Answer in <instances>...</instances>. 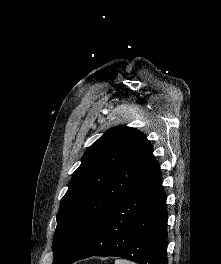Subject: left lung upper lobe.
<instances>
[{"label": "left lung upper lobe", "mask_w": 221, "mask_h": 264, "mask_svg": "<svg viewBox=\"0 0 221 264\" xmlns=\"http://www.w3.org/2000/svg\"><path fill=\"white\" fill-rule=\"evenodd\" d=\"M153 147L137 129H109L85 152L57 214L54 261L70 254L156 166Z\"/></svg>", "instance_id": "left-lung-upper-lobe-1"}]
</instances>
